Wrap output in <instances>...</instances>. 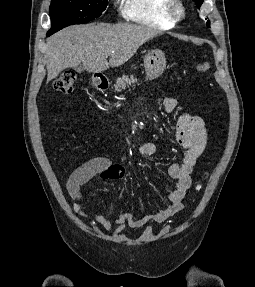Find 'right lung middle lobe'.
<instances>
[{
	"label": "right lung middle lobe",
	"instance_id": "dd1d6c3e",
	"mask_svg": "<svg viewBox=\"0 0 255 287\" xmlns=\"http://www.w3.org/2000/svg\"><path fill=\"white\" fill-rule=\"evenodd\" d=\"M108 0H51V29L47 34L73 25L83 24L98 18L106 9Z\"/></svg>",
	"mask_w": 255,
	"mask_h": 287
}]
</instances>
